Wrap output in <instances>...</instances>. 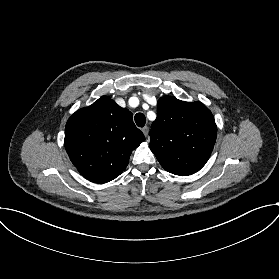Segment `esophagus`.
<instances>
[{
  "label": "esophagus",
  "instance_id": "obj_1",
  "mask_svg": "<svg viewBox=\"0 0 279 279\" xmlns=\"http://www.w3.org/2000/svg\"><path fill=\"white\" fill-rule=\"evenodd\" d=\"M142 132L144 133V135L147 137L148 136V133H149V127L148 126H145L142 128Z\"/></svg>",
  "mask_w": 279,
  "mask_h": 279
}]
</instances>
